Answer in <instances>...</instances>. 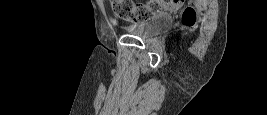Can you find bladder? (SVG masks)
I'll return each mask as SVG.
<instances>
[{
    "label": "bladder",
    "mask_w": 267,
    "mask_h": 115,
    "mask_svg": "<svg viewBox=\"0 0 267 115\" xmlns=\"http://www.w3.org/2000/svg\"><path fill=\"white\" fill-rule=\"evenodd\" d=\"M172 24L173 17L170 14L161 13L153 15L141 23L124 26L122 29L125 33L132 36L152 38L169 29Z\"/></svg>",
    "instance_id": "obj_1"
}]
</instances>
